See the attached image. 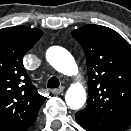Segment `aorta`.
Masks as SVG:
<instances>
[{"mask_svg": "<svg viewBox=\"0 0 131 131\" xmlns=\"http://www.w3.org/2000/svg\"><path fill=\"white\" fill-rule=\"evenodd\" d=\"M48 62L60 73L72 76L77 73V65L71 54L64 48L53 46L46 52ZM66 104L71 109H80L86 101V91L79 83L72 84L65 95Z\"/></svg>", "mask_w": 131, "mask_h": 131, "instance_id": "762f6f07", "label": "aorta"}]
</instances>
